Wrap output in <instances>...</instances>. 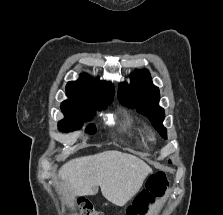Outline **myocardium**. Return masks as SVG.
I'll return each mask as SVG.
<instances>
[{"label":"myocardium","instance_id":"obj_1","mask_svg":"<svg viewBox=\"0 0 223 215\" xmlns=\"http://www.w3.org/2000/svg\"><path fill=\"white\" fill-rule=\"evenodd\" d=\"M149 139H150L151 142L155 141V137L152 134L150 135Z\"/></svg>","mask_w":223,"mask_h":215}]
</instances>
